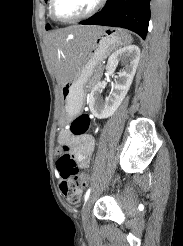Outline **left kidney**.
<instances>
[{
    "mask_svg": "<svg viewBox=\"0 0 183 246\" xmlns=\"http://www.w3.org/2000/svg\"><path fill=\"white\" fill-rule=\"evenodd\" d=\"M139 59L140 49L136 45L120 48L111 54L106 65L108 74H112L115 71L119 61L123 62L125 67L118 73L112 93L105 100L99 98L100 93L105 87L102 82H98L92 89L89 98V108L95 117L104 119L115 113L130 88Z\"/></svg>",
    "mask_w": 183,
    "mask_h": 246,
    "instance_id": "1",
    "label": "left kidney"
}]
</instances>
